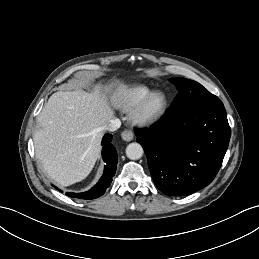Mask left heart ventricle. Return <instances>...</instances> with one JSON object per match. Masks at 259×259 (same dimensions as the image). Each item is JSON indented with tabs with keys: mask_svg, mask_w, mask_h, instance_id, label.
I'll return each mask as SVG.
<instances>
[{
	"mask_svg": "<svg viewBox=\"0 0 259 259\" xmlns=\"http://www.w3.org/2000/svg\"><path fill=\"white\" fill-rule=\"evenodd\" d=\"M162 105V98L160 96H156L151 100V102L148 105V112H155L160 109Z\"/></svg>",
	"mask_w": 259,
	"mask_h": 259,
	"instance_id": "obj_1",
	"label": "left heart ventricle"
}]
</instances>
